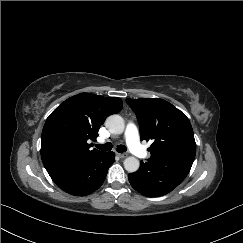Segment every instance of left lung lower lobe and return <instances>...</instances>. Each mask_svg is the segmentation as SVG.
Segmentation results:
<instances>
[{
	"mask_svg": "<svg viewBox=\"0 0 243 243\" xmlns=\"http://www.w3.org/2000/svg\"><path fill=\"white\" fill-rule=\"evenodd\" d=\"M194 157L177 156L154 162H140L137 172L128 175L131 186L148 197L165 195L187 176Z\"/></svg>",
	"mask_w": 243,
	"mask_h": 243,
	"instance_id": "0a47b994",
	"label": "left lung lower lobe"
}]
</instances>
